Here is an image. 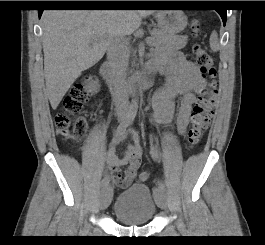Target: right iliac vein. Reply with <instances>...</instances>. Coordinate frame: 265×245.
<instances>
[{"label": "right iliac vein", "mask_w": 265, "mask_h": 245, "mask_svg": "<svg viewBox=\"0 0 265 245\" xmlns=\"http://www.w3.org/2000/svg\"><path fill=\"white\" fill-rule=\"evenodd\" d=\"M121 119H123V117ZM112 196H113V189L111 186H106L105 188H103L101 198H100V209L101 210H104L109 206L112 200Z\"/></svg>", "instance_id": "obj_1"}]
</instances>
